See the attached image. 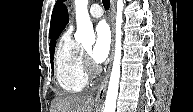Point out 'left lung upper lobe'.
<instances>
[{
  "mask_svg": "<svg viewBox=\"0 0 193 112\" xmlns=\"http://www.w3.org/2000/svg\"><path fill=\"white\" fill-rule=\"evenodd\" d=\"M62 3H63V0H57L56 4L54 6V9H53V12H52V17H51V24H50V36L53 33L54 21H55L57 12H58V10H59Z\"/></svg>",
  "mask_w": 193,
  "mask_h": 112,
  "instance_id": "left-lung-upper-lobe-1",
  "label": "left lung upper lobe"
}]
</instances>
